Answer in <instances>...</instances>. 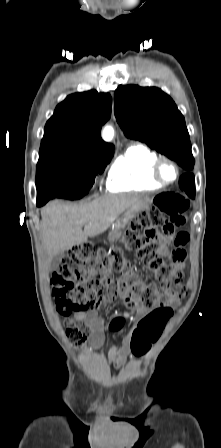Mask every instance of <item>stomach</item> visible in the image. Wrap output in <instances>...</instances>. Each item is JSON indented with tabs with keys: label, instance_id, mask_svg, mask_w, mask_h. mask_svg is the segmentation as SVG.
Here are the masks:
<instances>
[{
	"label": "stomach",
	"instance_id": "obj_1",
	"mask_svg": "<svg viewBox=\"0 0 221 448\" xmlns=\"http://www.w3.org/2000/svg\"><path fill=\"white\" fill-rule=\"evenodd\" d=\"M147 207V203H143L139 208H130L125 211V213L116 220L115 224L113 225V228L109 234V238L111 241L118 240L122 232L125 228V226L133 219L135 218L136 214L144 210Z\"/></svg>",
	"mask_w": 221,
	"mask_h": 448
}]
</instances>
